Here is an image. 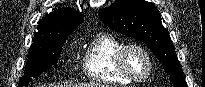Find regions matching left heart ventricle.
<instances>
[{"mask_svg":"<svg viewBox=\"0 0 205 87\" xmlns=\"http://www.w3.org/2000/svg\"><path fill=\"white\" fill-rule=\"evenodd\" d=\"M125 66L134 76L143 77L149 69L145 55L137 49H130L125 54Z\"/></svg>","mask_w":205,"mask_h":87,"instance_id":"left-heart-ventricle-1","label":"left heart ventricle"}]
</instances>
